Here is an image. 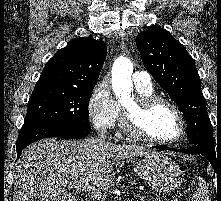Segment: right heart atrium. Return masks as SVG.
I'll return each mask as SVG.
<instances>
[{
	"mask_svg": "<svg viewBox=\"0 0 221 201\" xmlns=\"http://www.w3.org/2000/svg\"><path fill=\"white\" fill-rule=\"evenodd\" d=\"M120 107L109 87L101 83L91 94L88 102V118L99 132L110 131L118 121Z\"/></svg>",
	"mask_w": 221,
	"mask_h": 201,
	"instance_id": "d8ad5b80",
	"label": "right heart atrium"
}]
</instances>
